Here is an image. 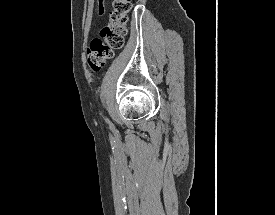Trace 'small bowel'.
<instances>
[{"instance_id":"obj_1","label":"small bowel","mask_w":275,"mask_h":215,"mask_svg":"<svg viewBox=\"0 0 275 215\" xmlns=\"http://www.w3.org/2000/svg\"><path fill=\"white\" fill-rule=\"evenodd\" d=\"M105 11V3L104 0H98V6H97V15L101 16Z\"/></svg>"}]
</instances>
